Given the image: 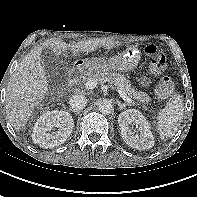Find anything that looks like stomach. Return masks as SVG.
I'll return each mask as SVG.
<instances>
[{
  "label": "stomach",
  "mask_w": 197,
  "mask_h": 197,
  "mask_svg": "<svg viewBox=\"0 0 197 197\" xmlns=\"http://www.w3.org/2000/svg\"><path fill=\"white\" fill-rule=\"evenodd\" d=\"M141 59L140 51L132 46L127 47L118 56L109 59L90 58L78 62V67L89 73L103 71L128 72L136 68Z\"/></svg>",
  "instance_id": "stomach-1"
}]
</instances>
